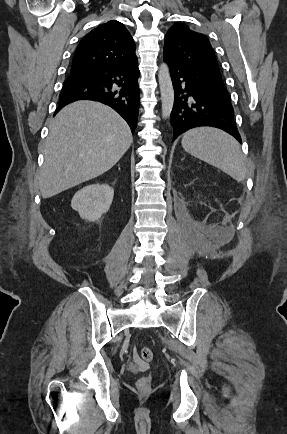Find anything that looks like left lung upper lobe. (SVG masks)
<instances>
[{
    "instance_id": "left-lung-upper-lobe-1",
    "label": "left lung upper lobe",
    "mask_w": 287,
    "mask_h": 434,
    "mask_svg": "<svg viewBox=\"0 0 287 434\" xmlns=\"http://www.w3.org/2000/svg\"><path fill=\"white\" fill-rule=\"evenodd\" d=\"M164 58L191 65L221 78L218 63L207 37L177 23L167 32L164 40Z\"/></svg>"
}]
</instances>
